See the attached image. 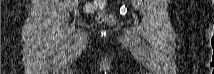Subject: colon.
I'll use <instances>...</instances> for the list:
<instances>
[{
	"mask_svg": "<svg viewBox=\"0 0 214 74\" xmlns=\"http://www.w3.org/2000/svg\"><path fill=\"white\" fill-rule=\"evenodd\" d=\"M106 3H107V0L91 1V2L86 4L85 10L87 12L97 11L96 19L99 22L107 23V24H113L115 21L114 17L104 9Z\"/></svg>",
	"mask_w": 214,
	"mask_h": 74,
	"instance_id": "colon-1",
	"label": "colon"
}]
</instances>
